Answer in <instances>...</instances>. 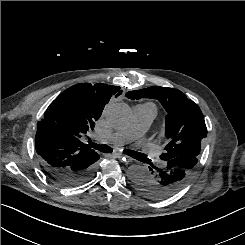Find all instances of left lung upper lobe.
Segmentation results:
<instances>
[{"label": "left lung upper lobe", "mask_w": 245, "mask_h": 245, "mask_svg": "<svg viewBox=\"0 0 245 245\" xmlns=\"http://www.w3.org/2000/svg\"><path fill=\"white\" fill-rule=\"evenodd\" d=\"M129 99H157L165 110V136L169 143L160 155L164 162L181 155L199 157L201 141L207 136L204 116L199 106L178 89L148 87L126 93Z\"/></svg>", "instance_id": "left-lung-upper-lobe-1"}]
</instances>
